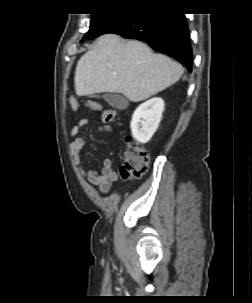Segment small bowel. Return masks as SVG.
Masks as SVG:
<instances>
[{"instance_id": "1", "label": "small bowel", "mask_w": 252, "mask_h": 303, "mask_svg": "<svg viewBox=\"0 0 252 303\" xmlns=\"http://www.w3.org/2000/svg\"><path fill=\"white\" fill-rule=\"evenodd\" d=\"M89 123L87 118L80 119L71 129L72 141L70 143V154L75 161L79 172L88 180V182L96 186L101 193H107L118 179L117 172L113 169V161L107 157L103 160L101 172L89 169L81 159V150L85 145V141L79 136L81 130ZM97 132L110 133L113 127L109 124H101L96 128Z\"/></svg>"}]
</instances>
